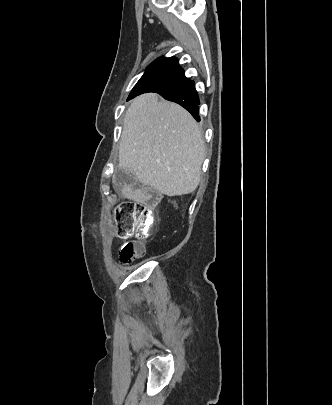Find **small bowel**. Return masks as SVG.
<instances>
[{
  "mask_svg": "<svg viewBox=\"0 0 332 405\" xmlns=\"http://www.w3.org/2000/svg\"><path fill=\"white\" fill-rule=\"evenodd\" d=\"M112 186H140L141 179L138 172H129L127 168H118L116 172H112Z\"/></svg>",
  "mask_w": 332,
  "mask_h": 405,
  "instance_id": "c3829d8e",
  "label": "small bowel"
}]
</instances>
